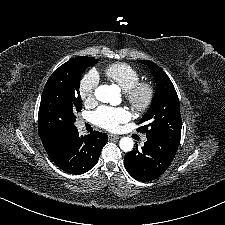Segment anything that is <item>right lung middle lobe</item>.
<instances>
[{
	"label": "right lung middle lobe",
	"instance_id": "1",
	"mask_svg": "<svg viewBox=\"0 0 225 225\" xmlns=\"http://www.w3.org/2000/svg\"><path fill=\"white\" fill-rule=\"evenodd\" d=\"M98 62L94 57L79 56L73 66L58 68L48 79L42 93L39 113V135L68 136L77 130L76 113L82 109L79 92L81 75Z\"/></svg>",
	"mask_w": 225,
	"mask_h": 225
}]
</instances>
